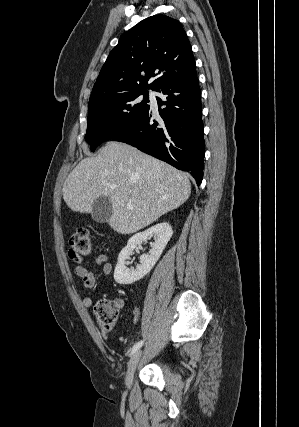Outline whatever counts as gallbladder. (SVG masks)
Masks as SVG:
<instances>
[{
  "instance_id": "obj_1",
  "label": "gallbladder",
  "mask_w": 299,
  "mask_h": 427,
  "mask_svg": "<svg viewBox=\"0 0 299 427\" xmlns=\"http://www.w3.org/2000/svg\"><path fill=\"white\" fill-rule=\"evenodd\" d=\"M111 214L112 203L108 197L100 196L94 201L91 215L96 222H108Z\"/></svg>"
}]
</instances>
